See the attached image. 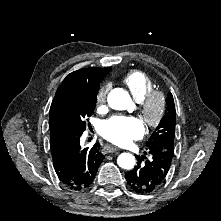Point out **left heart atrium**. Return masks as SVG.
<instances>
[{
	"mask_svg": "<svg viewBox=\"0 0 221 221\" xmlns=\"http://www.w3.org/2000/svg\"><path fill=\"white\" fill-rule=\"evenodd\" d=\"M144 132L142 121L134 116H113L100 126V133L105 139L121 146L141 138Z\"/></svg>",
	"mask_w": 221,
	"mask_h": 221,
	"instance_id": "39dd6f15",
	"label": "left heart atrium"
}]
</instances>
